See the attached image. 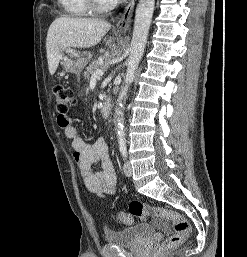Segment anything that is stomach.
<instances>
[{
    "mask_svg": "<svg viewBox=\"0 0 247 257\" xmlns=\"http://www.w3.org/2000/svg\"><path fill=\"white\" fill-rule=\"evenodd\" d=\"M87 63V58L75 49L68 48L61 54L60 64L67 72L80 74Z\"/></svg>",
    "mask_w": 247,
    "mask_h": 257,
    "instance_id": "stomach-1",
    "label": "stomach"
}]
</instances>
